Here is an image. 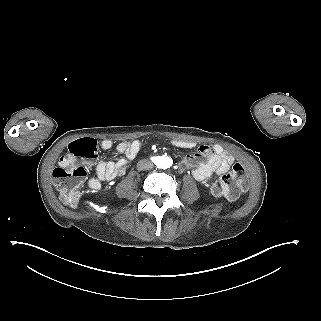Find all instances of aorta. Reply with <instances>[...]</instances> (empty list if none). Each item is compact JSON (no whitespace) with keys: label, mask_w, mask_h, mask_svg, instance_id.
<instances>
[{"label":"aorta","mask_w":321,"mask_h":321,"mask_svg":"<svg viewBox=\"0 0 321 321\" xmlns=\"http://www.w3.org/2000/svg\"><path fill=\"white\" fill-rule=\"evenodd\" d=\"M172 160L169 157H162L160 160V166L162 168H169L170 166H172Z\"/></svg>","instance_id":"obj_1"}]
</instances>
